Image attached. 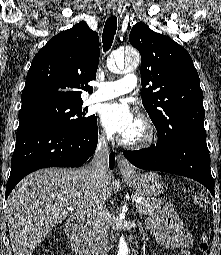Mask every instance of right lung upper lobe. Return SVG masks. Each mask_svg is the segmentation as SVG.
<instances>
[{
	"label": "right lung upper lobe",
	"mask_w": 221,
	"mask_h": 255,
	"mask_svg": "<svg viewBox=\"0 0 221 255\" xmlns=\"http://www.w3.org/2000/svg\"><path fill=\"white\" fill-rule=\"evenodd\" d=\"M99 37L86 22L62 31L35 55L22 92L21 109L45 103L81 102V91L92 93Z\"/></svg>",
	"instance_id": "right-lung-upper-lobe-1"
}]
</instances>
